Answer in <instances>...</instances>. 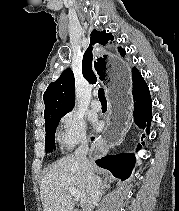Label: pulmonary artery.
<instances>
[{"instance_id":"obj_1","label":"pulmonary artery","mask_w":179,"mask_h":211,"mask_svg":"<svg viewBox=\"0 0 179 211\" xmlns=\"http://www.w3.org/2000/svg\"><path fill=\"white\" fill-rule=\"evenodd\" d=\"M91 107L93 108V110L95 111H100L102 108V105L100 103V101L97 99V95L95 94L94 99L91 102Z\"/></svg>"}]
</instances>
